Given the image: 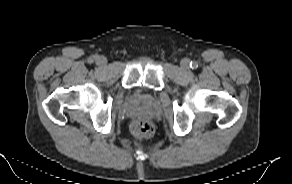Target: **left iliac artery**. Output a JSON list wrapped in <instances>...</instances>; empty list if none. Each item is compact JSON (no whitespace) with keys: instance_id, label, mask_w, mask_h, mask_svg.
<instances>
[{"instance_id":"1","label":"left iliac artery","mask_w":292,"mask_h":184,"mask_svg":"<svg viewBox=\"0 0 292 184\" xmlns=\"http://www.w3.org/2000/svg\"><path fill=\"white\" fill-rule=\"evenodd\" d=\"M190 67L192 69H196L198 67V63L196 61H193V62L190 63Z\"/></svg>"}]
</instances>
